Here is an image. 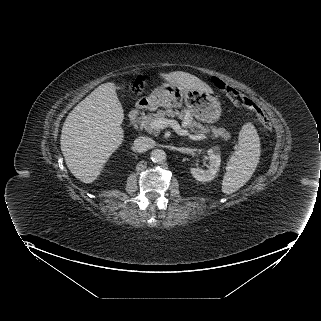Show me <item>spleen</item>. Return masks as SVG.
<instances>
[{"label": "spleen", "instance_id": "spleen-1", "mask_svg": "<svg viewBox=\"0 0 321 321\" xmlns=\"http://www.w3.org/2000/svg\"><path fill=\"white\" fill-rule=\"evenodd\" d=\"M238 140V149L227 163L222 182V192L228 195L247 183L260 159V139L253 124L242 126Z\"/></svg>", "mask_w": 321, "mask_h": 321}]
</instances>
